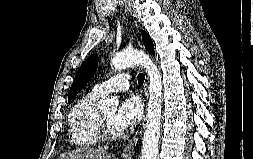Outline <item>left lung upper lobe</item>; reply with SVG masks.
I'll use <instances>...</instances> for the list:
<instances>
[{"instance_id":"5c2ea615","label":"left lung upper lobe","mask_w":253,"mask_h":159,"mask_svg":"<svg viewBox=\"0 0 253 159\" xmlns=\"http://www.w3.org/2000/svg\"><path fill=\"white\" fill-rule=\"evenodd\" d=\"M142 40L145 48L151 53L155 54L154 46L152 39L145 32L142 31ZM98 66V56L92 55L90 56L79 68L77 71L74 82L70 88L68 94V102H71V99L88 83V81L94 76Z\"/></svg>"}]
</instances>
